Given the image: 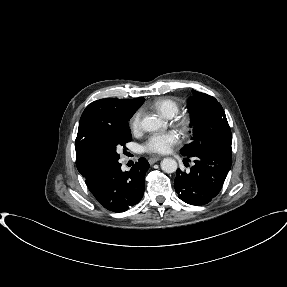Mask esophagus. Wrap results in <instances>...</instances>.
<instances>
[{
	"instance_id": "esophagus-1",
	"label": "esophagus",
	"mask_w": 287,
	"mask_h": 287,
	"mask_svg": "<svg viewBox=\"0 0 287 287\" xmlns=\"http://www.w3.org/2000/svg\"><path fill=\"white\" fill-rule=\"evenodd\" d=\"M159 160H161V156H154V157H151V158L149 159V163H150V164H154V163H156V162L159 161Z\"/></svg>"
}]
</instances>
